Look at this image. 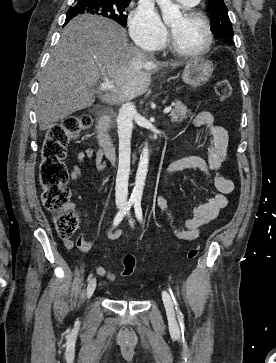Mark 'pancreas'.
<instances>
[{
	"label": "pancreas",
	"mask_w": 276,
	"mask_h": 363,
	"mask_svg": "<svg viewBox=\"0 0 276 363\" xmlns=\"http://www.w3.org/2000/svg\"><path fill=\"white\" fill-rule=\"evenodd\" d=\"M173 106L174 108L169 114L172 121L182 122L184 119L187 118V114H191L187 107L181 101H177L173 104Z\"/></svg>",
	"instance_id": "1"
}]
</instances>
